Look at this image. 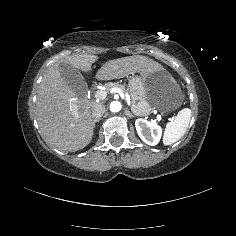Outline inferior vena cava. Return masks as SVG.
<instances>
[{"mask_svg": "<svg viewBox=\"0 0 236 236\" xmlns=\"http://www.w3.org/2000/svg\"><path fill=\"white\" fill-rule=\"evenodd\" d=\"M105 112V106L102 103H96L92 107L91 116L94 120L99 119Z\"/></svg>", "mask_w": 236, "mask_h": 236, "instance_id": "inferior-vena-cava-1", "label": "inferior vena cava"}]
</instances>
